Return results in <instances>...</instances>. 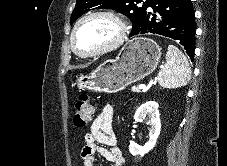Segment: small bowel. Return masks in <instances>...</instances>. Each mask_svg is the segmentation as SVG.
I'll return each mask as SVG.
<instances>
[{"instance_id": "small-bowel-1", "label": "small bowel", "mask_w": 227, "mask_h": 166, "mask_svg": "<svg viewBox=\"0 0 227 166\" xmlns=\"http://www.w3.org/2000/svg\"><path fill=\"white\" fill-rule=\"evenodd\" d=\"M113 115V106L105 105L93 120L90 131L85 134V145L81 150L84 166H101L97 163L99 157L111 162L114 166L125 165V159L116 146V137L112 126Z\"/></svg>"}]
</instances>
